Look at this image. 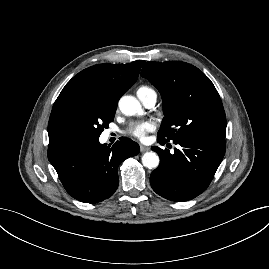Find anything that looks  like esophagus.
Segmentation results:
<instances>
[{"instance_id":"obj_1","label":"esophagus","mask_w":269,"mask_h":269,"mask_svg":"<svg viewBox=\"0 0 269 269\" xmlns=\"http://www.w3.org/2000/svg\"><path fill=\"white\" fill-rule=\"evenodd\" d=\"M149 149H150V148L147 147V146L140 145V151H141V152H146V151H148Z\"/></svg>"}]
</instances>
